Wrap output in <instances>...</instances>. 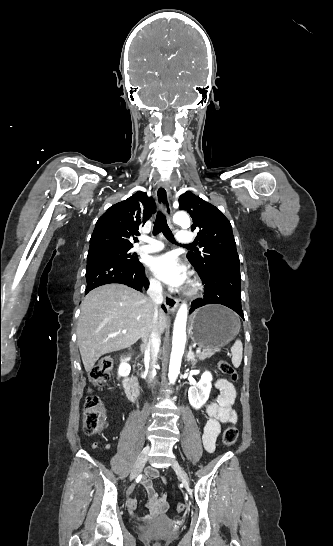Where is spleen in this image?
Listing matches in <instances>:
<instances>
[{"mask_svg": "<svg viewBox=\"0 0 333 546\" xmlns=\"http://www.w3.org/2000/svg\"><path fill=\"white\" fill-rule=\"evenodd\" d=\"M239 321V320H238ZM240 329V323L238 324V331ZM243 345L240 340H237L231 347L232 364L235 368H238L242 361Z\"/></svg>", "mask_w": 333, "mask_h": 546, "instance_id": "obj_1", "label": "spleen"}]
</instances>
